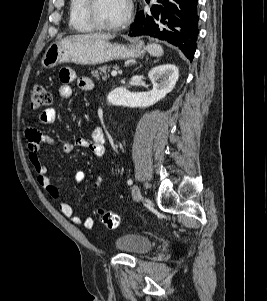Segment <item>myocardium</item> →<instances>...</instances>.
<instances>
[{
	"label": "myocardium",
	"mask_w": 267,
	"mask_h": 301,
	"mask_svg": "<svg viewBox=\"0 0 267 301\" xmlns=\"http://www.w3.org/2000/svg\"><path fill=\"white\" fill-rule=\"evenodd\" d=\"M99 0H86L85 12L89 22L98 30L102 31H116L127 26L132 18L133 3L132 0H125L126 12L124 17L115 24L103 23L97 15V5Z\"/></svg>",
	"instance_id": "f54148a6"
}]
</instances>
